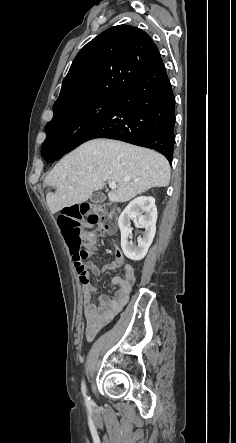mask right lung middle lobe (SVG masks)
I'll use <instances>...</instances> for the list:
<instances>
[{
  "instance_id": "1",
  "label": "right lung middle lobe",
  "mask_w": 236,
  "mask_h": 443,
  "mask_svg": "<svg viewBox=\"0 0 236 443\" xmlns=\"http://www.w3.org/2000/svg\"><path fill=\"white\" fill-rule=\"evenodd\" d=\"M100 94L57 114L46 125V140L42 149L50 146L67 147L89 123L98 118L116 98Z\"/></svg>"
}]
</instances>
